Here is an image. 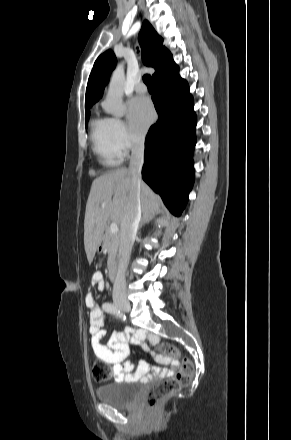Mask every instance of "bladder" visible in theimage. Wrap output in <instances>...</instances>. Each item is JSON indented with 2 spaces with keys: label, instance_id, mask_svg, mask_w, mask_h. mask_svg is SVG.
<instances>
[{
  "label": "bladder",
  "instance_id": "31cf9c89",
  "mask_svg": "<svg viewBox=\"0 0 291 440\" xmlns=\"http://www.w3.org/2000/svg\"><path fill=\"white\" fill-rule=\"evenodd\" d=\"M140 394V383L126 379L101 386L95 391L98 400L110 403L119 408L130 407L139 398Z\"/></svg>",
  "mask_w": 291,
  "mask_h": 440
}]
</instances>
